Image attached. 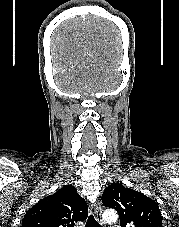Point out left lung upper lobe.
I'll return each instance as SVG.
<instances>
[{
  "mask_svg": "<svg viewBox=\"0 0 179 227\" xmlns=\"http://www.w3.org/2000/svg\"><path fill=\"white\" fill-rule=\"evenodd\" d=\"M101 199L104 206L118 211L122 227H163L159 206L141 192L113 183Z\"/></svg>",
  "mask_w": 179,
  "mask_h": 227,
  "instance_id": "5c2ea615",
  "label": "left lung upper lobe"
}]
</instances>
